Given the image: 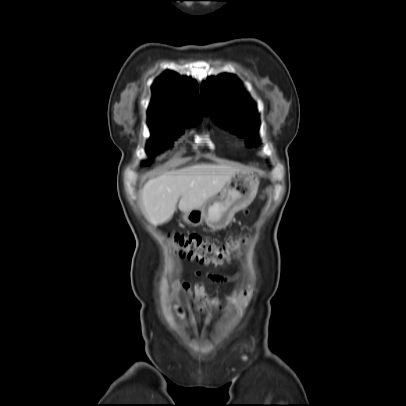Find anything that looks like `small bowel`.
Wrapping results in <instances>:
<instances>
[{
  "label": "small bowel",
  "mask_w": 406,
  "mask_h": 406,
  "mask_svg": "<svg viewBox=\"0 0 406 406\" xmlns=\"http://www.w3.org/2000/svg\"><path fill=\"white\" fill-rule=\"evenodd\" d=\"M209 278L215 282L227 283L234 281L237 275L210 274ZM189 288L190 284L188 282H183L180 285L181 294L179 295V301L182 307L193 308L197 313L204 314L211 319H214L227 303L226 300L208 296L205 292L203 282H199L195 285V296L193 298L190 297L188 293Z\"/></svg>",
  "instance_id": "small-bowel-1"
}]
</instances>
